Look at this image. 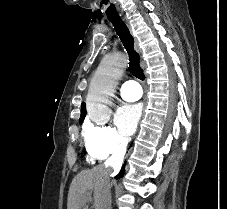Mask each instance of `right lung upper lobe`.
Segmentation results:
<instances>
[{"label":"right lung upper lobe","instance_id":"obj_1","mask_svg":"<svg viewBox=\"0 0 227 209\" xmlns=\"http://www.w3.org/2000/svg\"><path fill=\"white\" fill-rule=\"evenodd\" d=\"M86 116V107H85V103L83 102L81 105V116L80 119H84Z\"/></svg>","mask_w":227,"mask_h":209}]
</instances>
